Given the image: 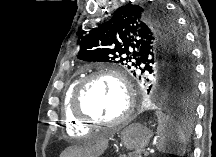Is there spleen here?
I'll use <instances>...</instances> for the list:
<instances>
[{"label":"spleen","instance_id":"spleen-1","mask_svg":"<svg viewBox=\"0 0 216 157\" xmlns=\"http://www.w3.org/2000/svg\"><path fill=\"white\" fill-rule=\"evenodd\" d=\"M156 116L158 119L157 150L182 157L186 152L187 134L173 117L161 111H157Z\"/></svg>","mask_w":216,"mask_h":157}]
</instances>
